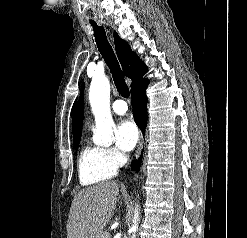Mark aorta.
Masks as SVG:
<instances>
[{
  "label": "aorta",
  "mask_w": 247,
  "mask_h": 238,
  "mask_svg": "<svg viewBox=\"0 0 247 238\" xmlns=\"http://www.w3.org/2000/svg\"><path fill=\"white\" fill-rule=\"evenodd\" d=\"M89 101L96 123L93 141L97 145H111L114 139L112 130L114 122L110 112V83L107 78H93L89 90ZM138 220V211L135 210L131 227L132 238H135Z\"/></svg>",
  "instance_id": "aorta-1"
}]
</instances>
